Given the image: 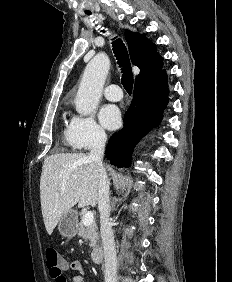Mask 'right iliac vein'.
Masks as SVG:
<instances>
[{"mask_svg":"<svg viewBox=\"0 0 232 282\" xmlns=\"http://www.w3.org/2000/svg\"><path fill=\"white\" fill-rule=\"evenodd\" d=\"M107 282H116V281L108 280Z\"/></svg>","mask_w":232,"mask_h":282,"instance_id":"1","label":"right iliac vein"}]
</instances>
